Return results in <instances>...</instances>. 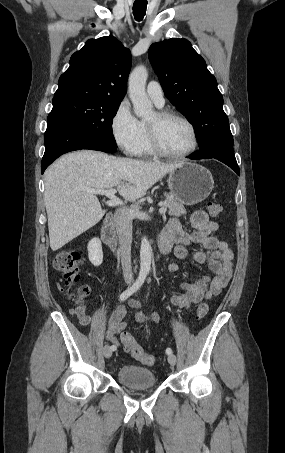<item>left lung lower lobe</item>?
Masks as SVG:
<instances>
[{
  "label": "left lung lower lobe",
  "instance_id": "1",
  "mask_svg": "<svg viewBox=\"0 0 285 453\" xmlns=\"http://www.w3.org/2000/svg\"><path fill=\"white\" fill-rule=\"evenodd\" d=\"M188 158L194 160L215 158L228 165L237 175H240V170L233 152V144L230 143L212 144L189 155Z\"/></svg>",
  "mask_w": 285,
  "mask_h": 453
}]
</instances>
